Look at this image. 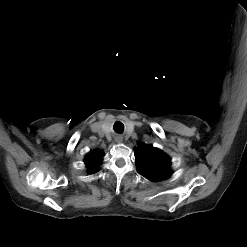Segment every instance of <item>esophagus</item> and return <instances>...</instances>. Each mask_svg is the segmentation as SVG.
<instances>
[{"mask_svg":"<svg viewBox=\"0 0 247 247\" xmlns=\"http://www.w3.org/2000/svg\"><path fill=\"white\" fill-rule=\"evenodd\" d=\"M122 140H123V139H122V137H120V136H118V137L116 138V141L119 142V143L122 142Z\"/></svg>","mask_w":247,"mask_h":247,"instance_id":"1","label":"esophagus"}]
</instances>
